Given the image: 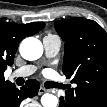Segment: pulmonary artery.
<instances>
[{"instance_id":"pulmonary-artery-1","label":"pulmonary artery","mask_w":107,"mask_h":107,"mask_svg":"<svg viewBox=\"0 0 107 107\" xmlns=\"http://www.w3.org/2000/svg\"><path fill=\"white\" fill-rule=\"evenodd\" d=\"M43 46L45 50V54L47 57L52 58L55 57L61 47L60 38L54 35H47L43 38ZM36 70V67L33 65H26L16 69L12 77H27L33 74Z\"/></svg>"}]
</instances>
